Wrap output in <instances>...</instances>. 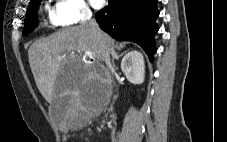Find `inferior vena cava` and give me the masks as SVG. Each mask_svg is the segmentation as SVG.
<instances>
[{
  "instance_id": "1",
  "label": "inferior vena cava",
  "mask_w": 227,
  "mask_h": 142,
  "mask_svg": "<svg viewBox=\"0 0 227 142\" xmlns=\"http://www.w3.org/2000/svg\"><path fill=\"white\" fill-rule=\"evenodd\" d=\"M82 26L86 27L89 32L91 33L94 40L99 44L100 50L102 52L103 60L105 61V64L107 66V69L105 70V79L106 82L109 83L112 81V75L114 73V68L110 61V48L106 44V42L103 39L101 30L98 26V23L95 19L92 18V13L90 11L84 12L82 22ZM117 98V96H114V100Z\"/></svg>"
}]
</instances>
